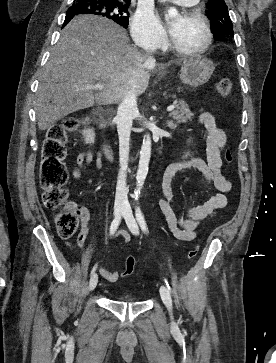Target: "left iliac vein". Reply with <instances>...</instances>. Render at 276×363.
I'll return each instance as SVG.
<instances>
[{
	"instance_id": "obj_1",
	"label": "left iliac vein",
	"mask_w": 276,
	"mask_h": 363,
	"mask_svg": "<svg viewBox=\"0 0 276 363\" xmlns=\"http://www.w3.org/2000/svg\"><path fill=\"white\" fill-rule=\"evenodd\" d=\"M123 217L127 223V226L129 228L130 232L133 235H138L139 228H138L137 222L133 216L132 210L129 205H126ZM160 295H161V298H162L164 304L166 305L167 309L171 312L172 311V299H171L170 292L166 286L162 285L160 287Z\"/></svg>"
}]
</instances>
